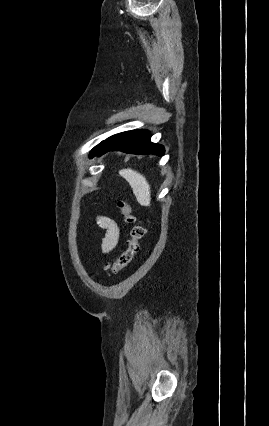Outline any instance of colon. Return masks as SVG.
<instances>
[{
    "label": "colon",
    "mask_w": 269,
    "mask_h": 426,
    "mask_svg": "<svg viewBox=\"0 0 269 426\" xmlns=\"http://www.w3.org/2000/svg\"><path fill=\"white\" fill-rule=\"evenodd\" d=\"M118 207L125 224L130 226V237L127 248L122 251L116 261L105 266L107 275H114L130 264L134 256L139 252L140 240L145 234V230L137 221L131 205L121 200L118 202Z\"/></svg>",
    "instance_id": "obj_1"
}]
</instances>
